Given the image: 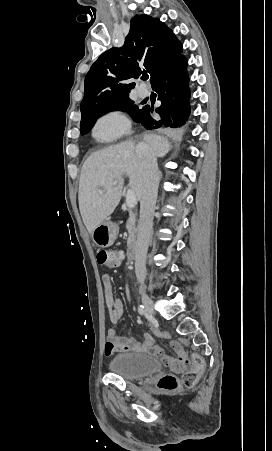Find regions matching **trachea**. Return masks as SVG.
Wrapping results in <instances>:
<instances>
[{
	"label": "trachea",
	"mask_w": 272,
	"mask_h": 451,
	"mask_svg": "<svg viewBox=\"0 0 272 451\" xmlns=\"http://www.w3.org/2000/svg\"><path fill=\"white\" fill-rule=\"evenodd\" d=\"M148 78L149 76L147 75V73H143L142 80H147Z\"/></svg>",
	"instance_id": "trachea-1"
}]
</instances>
